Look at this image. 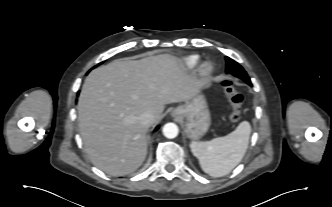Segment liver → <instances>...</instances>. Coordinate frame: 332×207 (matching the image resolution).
Masks as SVG:
<instances>
[{
  "instance_id": "liver-1",
  "label": "liver",
  "mask_w": 332,
  "mask_h": 207,
  "mask_svg": "<svg viewBox=\"0 0 332 207\" xmlns=\"http://www.w3.org/2000/svg\"><path fill=\"white\" fill-rule=\"evenodd\" d=\"M200 86L170 54L117 59L93 70L78 101L79 131L92 163L112 176L137 170L147 154L148 127L140 115L149 111L158 121L164 105L189 101Z\"/></svg>"
}]
</instances>
